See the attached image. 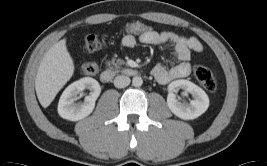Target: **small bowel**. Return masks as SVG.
<instances>
[{
    "mask_svg": "<svg viewBox=\"0 0 267 166\" xmlns=\"http://www.w3.org/2000/svg\"><path fill=\"white\" fill-rule=\"evenodd\" d=\"M137 41L147 45H162L169 43L173 47L176 63L172 66L158 63L152 70L154 78L161 84H168L180 78L187 77L191 72L190 58L192 52L201 53L203 46L195 37H186L172 30H148L143 33L125 34L121 40L124 48H133Z\"/></svg>",
    "mask_w": 267,
    "mask_h": 166,
    "instance_id": "c3829d8e",
    "label": "small bowel"
}]
</instances>
